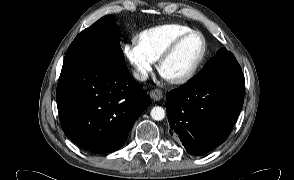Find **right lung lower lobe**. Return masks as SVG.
<instances>
[{"label": "right lung lower lobe", "mask_w": 294, "mask_h": 180, "mask_svg": "<svg viewBox=\"0 0 294 180\" xmlns=\"http://www.w3.org/2000/svg\"><path fill=\"white\" fill-rule=\"evenodd\" d=\"M56 100L65 135L93 153L122 147L149 106L147 92L126 64L110 59L85 60L62 69Z\"/></svg>", "instance_id": "obj_1"}]
</instances>
